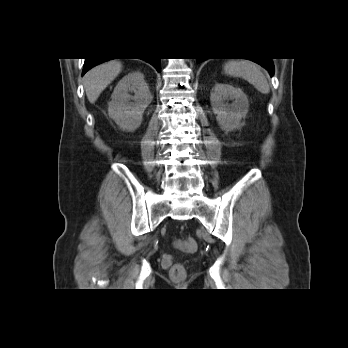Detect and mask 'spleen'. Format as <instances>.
I'll return each instance as SVG.
<instances>
[{"label":"spleen","instance_id":"spleen-1","mask_svg":"<svg viewBox=\"0 0 348 348\" xmlns=\"http://www.w3.org/2000/svg\"><path fill=\"white\" fill-rule=\"evenodd\" d=\"M224 73L241 77L251 83L260 93L268 94L270 86L258 65L249 60H229L223 66Z\"/></svg>","mask_w":348,"mask_h":348}]
</instances>
